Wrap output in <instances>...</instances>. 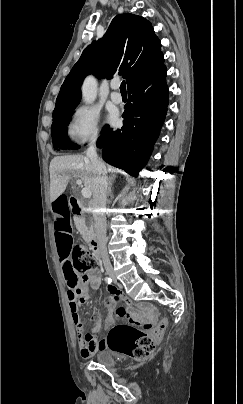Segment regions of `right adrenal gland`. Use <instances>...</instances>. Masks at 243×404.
<instances>
[{"label":"right adrenal gland","mask_w":243,"mask_h":404,"mask_svg":"<svg viewBox=\"0 0 243 404\" xmlns=\"http://www.w3.org/2000/svg\"><path fill=\"white\" fill-rule=\"evenodd\" d=\"M114 180H115V176H111V178H109L107 194H112V186H113Z\"/></svg>","instance_id":"right-adrenal-gland-1"}]
</instances>
